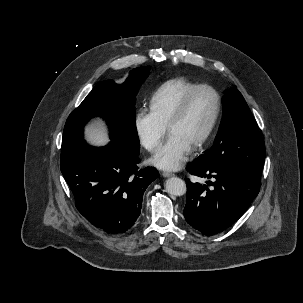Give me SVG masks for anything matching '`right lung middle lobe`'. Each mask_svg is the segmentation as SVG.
<instances>
[{"instance_id": "dd1d6c3e", "label": "right lung middle lobe", "mask_w": 303, "mask_h": 303, "mask_svg": "<svg viewBox=\"0 0 303 303\" xmlns=\"http://www.w3.org/2000/svg\"><path fill=\"white\" fill-rule=\"evenodd\" d=\"M149 66L130 72L118 85L112 80L99 82L83 102L69 115L61 149L82 140L84 126L93 117L103 118L109 126L111 141L130 154H139L140 145L135 128V97L149 75Z\"/></svg>"}]
</instances>
